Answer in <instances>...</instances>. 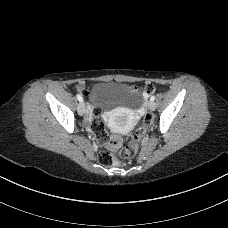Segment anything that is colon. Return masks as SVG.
<instances>
[{"label":"colon","instance_id":"colon-1","mask_svg":"<svg viewBox=\"0 0 228 228\" xmlns=\"http://www.w3.org/2000/svg\"><path fill=\"white\" fill-rule=\"evenodd\" d=\"M83 90V87L80 86ZM152 85H146L144 88L145 93H151L153 91ZM90 95V93H89ZM89 116L91 118V129L100 136L102 140L104 136L105 125L101 120V110L95 106H91L89 109ZM151 124V118L146 116L142 126L138 128L136 133L130 138L125 146H122L118 141H113L104 150L99 153V161L103 165H111L116 163V158L114 153L117 152L120 158L130 159L133 158L138 149L141 138L143 137L147 127Z\"/></svg>","mask_w":228,"mask_h":228}]
</instances>
